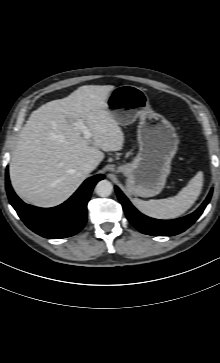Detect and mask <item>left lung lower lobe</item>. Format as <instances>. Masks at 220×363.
Segmentation results:
<instances>
[{
  "instance_id": "obj_1",
  "label": "left lung lower lobe",
  "mask_w": 220,
  "mask_h": 363,
  "mask_svg": "<svg viewBox=\"0 0 220 363\" xmlns=\"http://www.w3.org/2000/svg\"><path fill=\"white\" fill-rule=\"evenodd\" d=\"M115 190L128 220L140 232L153 236H172L185 231L199 218L212 196L211 190L203 204L188 216L175 220H157L141 214L133 207L118 187H115Z\"/></svg>"
}]
</instances>
